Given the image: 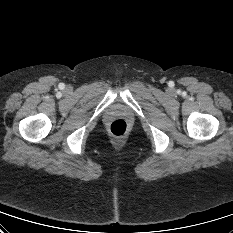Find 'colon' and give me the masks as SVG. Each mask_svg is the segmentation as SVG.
Masks as SVG:
<instances>
[{"instance_id": "5ec220e1", "label": "colon", "mask_w": 233, "mask_h": 233, "mask_svg": "<svg viewBox=\"0 0 233 233\" xmlns=\"http://www.w3.org/2000/svg\"><path fill=\"white\" fill-rule=\"evenodd\" d=\"M109 131L115 137H123L128 131V124L123 119H116L111 122Z\"/></svg>"}]
</instances>
